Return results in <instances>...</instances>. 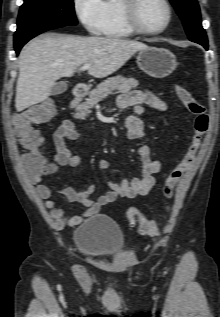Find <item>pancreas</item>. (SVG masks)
<instances>
[{
  "label": "pancreas",
  "mask_w": 220,
  "mask_h": 317,
  "mask_svg": "<svg viewBox=\"0 0 220 317\" xmlns=\"http://www.w3.org/2000/svg\"><path fill=\"white\" fill-rule=\"evenodd\" d=\"M137 85L138 81L134 78H125L120 75L106 79L90 92L86 101L75 105V117L84 119L91 112L90 109L108 95L127 92L136 88Z\"/></svg>",
  "instance_id": "cf45deb5"
}]
</instances>
